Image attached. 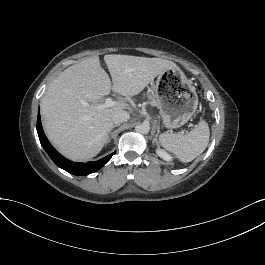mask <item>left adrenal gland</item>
<instances>
[{
    "instance_id": "obj_1",
    "label": "left adrenal gland",
    "mask_w": 265,
    "mask_h": 265,
    "mask_svg": "<svg viewBox=\"0 0 265 265\" xmlns=\"http://www.w3.org/2000/svg\"><path fill=\"white\" fill-rule=\"evenodd\" d=\"M159 132H160V127L157 126V133H156V135H155V137H154V139H153V143L155 142L156 144H159V142H158V140H157V136H158Z\"/></svg>"
}]
</instances>
